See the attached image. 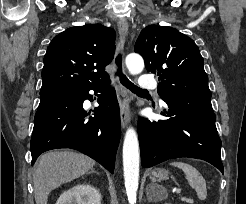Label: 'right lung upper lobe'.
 Instances as JSON below:
<instances>
[{"instance_id": "obj_1", "label": "right lung upper lobe", "mask_w": 246, "mask_h": 204, "mask_svg": "<svg viewBox=\"0 0 246 204\" xmlns=\"http://www.w3.org/2000/svg\"><path fill=\"white\" fill-rule=\"evenodd\" d=\"M114 52V29L101 24L68 28L48 46L40 94L107 82L105 67L111 63Z\"/></svg>"}]
</instances>
